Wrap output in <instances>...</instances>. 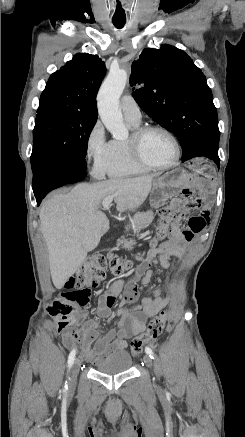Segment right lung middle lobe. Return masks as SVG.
Returning <instances> with one entry per match:
<instances>
[{"label": "right lung middle lobe", "mask_w": 245, "mask_h": 437, "mask_svg": "<svg viewBox=\"0 0 245 437\" xmlns=\"http://www.w3.org/2000/svg\"><path fill=\"white\" fill-rule=\"evenodd\" d=\"M97 117L63 107L37 110L33 129L32 171L49 162L85 166L88 138Z\"/></svg>", "instance_id": "dd1d6c3e"}]
</instances>
